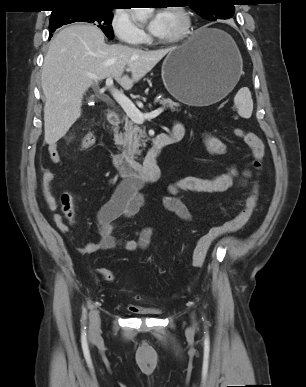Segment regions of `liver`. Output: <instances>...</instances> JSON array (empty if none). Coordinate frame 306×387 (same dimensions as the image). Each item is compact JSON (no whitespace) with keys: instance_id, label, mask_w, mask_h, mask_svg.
Segmentation results:
<instances>
[{"instance_id":"6515ba94","label":"liver","mask_w":306,"mask_h":387,"mask_svg":"<svg viewBox=\"0 0 306 387\" xmlns=\"http://www.w3.org/2000/svg\"><path fill=\"white\" fill-rule=\"evenodd\" d=\"M175 48L144 51L108 45L103 32L89 24L62 29L51 40L42 67L45 142L54 145L81 116L83 95L97 81L94 77L114 78L130 90ZM125 69L131 78L123 75Z\"/></svg>"}]
</instances>
